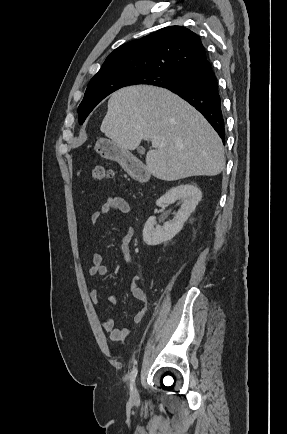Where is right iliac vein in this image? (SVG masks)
<instances>
[{
	"label": "right iliac vein",
	"mask_w": 287,
	"mask_h": 434,
	"mask_svg": "<svg viewBox=\"0 0 287 434\" xmlns=\"http://www.w3.org/2000/svg\"><path fill=\"white\" fill-rule=\"evenodd\" d=\"M139 397V392L138 389L136 387V384L133 383L131 386V398L132 399H137Z\"/></svg>",
	"instance_id": "63e3f726"
}]
</instances>
